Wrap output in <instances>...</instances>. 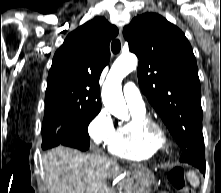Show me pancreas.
Returning a JSON list of instances; mask_svg holds the SVG:
<instances>
[{
  "mask_svg": "<svg viewBox=\"0 0 221 193\" xmlns=\"http://www.w3.org/2000/svg\"><path fill=\"white\" fill-rule=\"evenodd\" d=\"M144 183L149 184V177L145 174H141L137 177V184L142 185ZM121 187L126 188L127 193H133L134 188H135L134 180L133 179L124 180ZM143 191H144V193H147L148 192V186L146 188H144Z\"/></svg>",
  "mask_w": 221,
  "mask_h": 193,
  "instance_id": "cf45deb5",
  "label": "pancreas"
}]
</instances>
